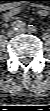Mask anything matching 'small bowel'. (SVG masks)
<instances>
[{
  "instance_id": "c3829d8e",
  "label": "small bowel",
  "mask_w": 50,
  "mask_h": 111,
  "mask_svg": "<svg viewBox=\"0 0 50 111\" xmlns=\"http://www.w3.org/2000/svg\"><path fill=\"white\" fill-rule=\"evenodd\" d=\"M20 11H21V8L8 9L3 14V18H4V20L9 21V20L13 19ZM35 13L38 15H41V16H45V15H47L48 12L43 9H37V10H35Z\"/></svg>"
}]
</instances>
